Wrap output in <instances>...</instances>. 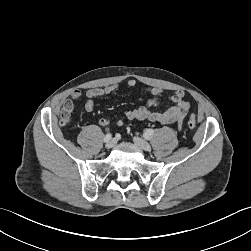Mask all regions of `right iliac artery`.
Here are the masks:
<instances>
[{
  "label": "right iliac artery",
  "instance_id": "obj_1",
  "mask_svg": "<svg viewBox=\"0 0 251 251\" xmlns=\"http://www.w3.org/2000/svg\"><path fill=\"white\" fill-rule=\"evenodd\" d=\"M111 138H112V135L110 133L106 134V136L104 137V142L110 141Z\"/></svg>",
  "mask_w": 251,
  "mask_h": 251
}]
</instances>
